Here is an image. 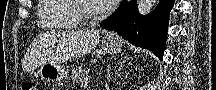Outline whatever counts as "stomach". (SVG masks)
<instances>
[{"instance_id": "stomach-1", "label": "stomach", "mask_w": 216, "mask_h": 90, "mask_svg": "<svg viewBox=\"0 0 216 90\" xmlns=\"http://www.w3.org/2000/svg\"><path fill=\"white\" fill-rule=\"evenodd\" d=\"M102 48L110 54L121 51L122 42L118 37L106 36L102 40ZM38 74L43 80L62 83L67 77V70L58 63H46L40 67Z\"/></svg>"}]
</instances>
